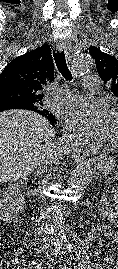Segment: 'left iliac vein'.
Here are the masks:
<instances>
[{
	"label": "left iliac vein",
	"mask_w": 118,
	"mask_h": 269,
	"mask_svg": "<svg viewBox=\"0 0 118 269\" xmlns=\"http://www.w3.org/2000/svg\"><path fill=\"white\" fill-rule=\"evenodd\" d=\"M63 269H68L67 267H64Z\"/></svg>",
	"instance_id": "4c4485c4"
}]
</instances>
